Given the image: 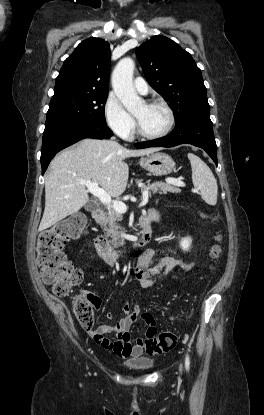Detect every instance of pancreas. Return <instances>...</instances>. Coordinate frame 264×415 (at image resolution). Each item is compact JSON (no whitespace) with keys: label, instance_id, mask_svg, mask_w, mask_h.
<instances>
[{"label":"pancreas","instance_id":"obj_1","mask_svg":"<svg viewBox=\"0 0 264 415\" xmlns=\"http://www.w3.org/2000/svg\"><path fill=\"white\" fill-rule=\"evenodd\" d=\"M145 190H147L150 195L151 193L166 194L167 192L179 193L181 191L179 188L163 182H154L152 184L147 183L142 186V191ZM122 219L123 215L121 213L116 212L113 208H109L107 216L102 223L104 231H106V235L111 238V243L114 247L124 244V239L120 234V227L118 225V222L122 221Z\"/></svg>","mask_w":264,"mask_h":415}]
</instances>
